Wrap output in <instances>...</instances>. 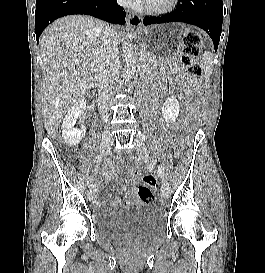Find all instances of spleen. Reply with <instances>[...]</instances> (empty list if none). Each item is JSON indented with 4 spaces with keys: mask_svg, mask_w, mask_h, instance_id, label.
Here are the masks:
<instances>
[{
    "mask_svg": "<svg viewBox=\"0 0 265 273\" xmlns=\"http://www.w3.org/2000/svg\"><path fill=\"white\" fill-rule=\"evenodd\" d=\"M204 63V71L207 74L212 73V54L210 52H205L202 59Z\"/></svg>",
    "mask_w": 265,
    "mask_h": 273,
    "instance_id": "3e777b00",
    "label": "spleen"
}]
</instances>
